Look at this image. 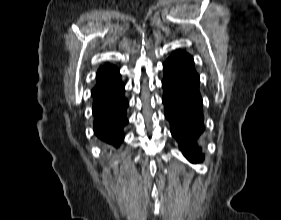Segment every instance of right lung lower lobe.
I'll list each match as a JSON object with an SVG mask.
<instances>
[{
	"label": "right lung lower lobe",
	"mask_w": 281,
	"mask_h": 220,
	"mask_svg": "<svg viewBox=\"0 0 281 220\" xmlns=\"http://www.w3.org/2000/svg\"><path fill=\"white\" fill-rule=\"evenodd\" d=\"M94 103V132L105 144L119 147L124 139L123 127L127 124L124 84L95 87L91 92Z\"/></svg>",
	"instance_id": "1"
}]
</instances>
